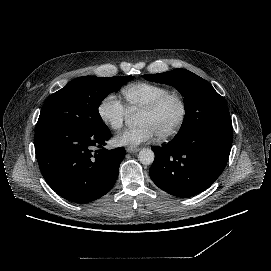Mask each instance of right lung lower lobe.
<instances>
[{"instance_id":"obj_1","label":"right lung lower lobe","mask_w":271,"mask_h":271,"mask_svg":"<svg viewBox=\"0 0 271 271\" xmlns=\"http://www.w3.org/2000/svg\"><path fill=\"white\" fill-rule=\"evenodd\" d=\"M111 138L106 125L94 130L51 126L35 131L41 173L61 197L87 203L108 193L116 182L125 149L102 148ZM94 147L100 148L94 152Z\"/></svg>"}]
</instances>
